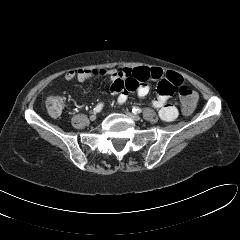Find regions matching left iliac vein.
<instances>
[{
  "label": "left iliac vein",
  "mask_w": 240,
  "mask_h": 240,
  "mask_svg": "<svg viewBox=\"0 0 240 240\" xmlns=\"http://www.w3.org/2000/svg\"><path fill=\"white\" fill-rule=\"evenodd\" d=\"M125 114H127L132 120L134 121H139L141 119L140 116L136 115V114H133V113H130V112H125Z\"/></svg>",
  "instance_id": "obj_1"
}]
</instances>
